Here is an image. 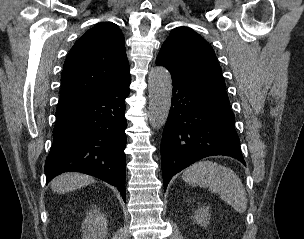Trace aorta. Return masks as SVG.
<instances>
[{
    "instance_id": "762f6f07",
    "label": "aorta",
    "mask_w": 304,
    "mask_h": 239,
    "mask_svg": "<svg viewBox=\"0 0 304 239\" xmlns=\"http://www.w3.org/2000/svg\"><path fill=\"white\" fill-rule=\"evenodd\" d=\"M149 121L152 128L160 129L165 125L172 99V79L169 71L162 66L149 72Z\"/></svg>"
}]
</instances>
